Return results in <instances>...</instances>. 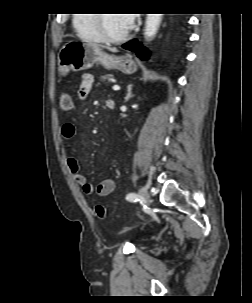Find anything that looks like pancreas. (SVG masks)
I'll use <instances>...</instances> for the list:
<instances>
[{
	"label": "pancreas",
	"instance_id": "cf45deb5",
	"mask_svg": "<svg viewBox=\"0 0 252 303\" xmlns=\"http://www.w3.org/2000/svg\"><path fill=\"white\" fill-rule=\"evenodd\" d=\"M111 78H113V75H111V74L102 75L100 77L101 81H106V80H109Z\"/></svg>",
	"mask_w": 252,
	"mask_h": 303
}]
</instances>
